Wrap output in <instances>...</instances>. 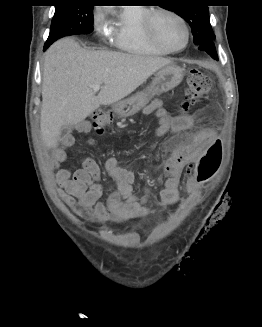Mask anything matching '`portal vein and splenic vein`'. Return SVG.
I'll list each match as a JSON object with an SVG mask.
<instances>
[{
  "mask_svg": "<svg viewBox=\"0 0 262 327\" xmlns=\"http://www.w3.org/2000/svg\"><path fill=\"white\" fill-rule=\"evenodd\" d=\"M91 88L93 89L94 92H98L101 88V85H93L91 86Z\"/></svg>",
  "mask_w": 262,
  "mask_h": 327,
  "instance_id": "portal-vein-and-splenic-vein-1",
  "label": "portal vein and splenic vein"
}]
</instances>
